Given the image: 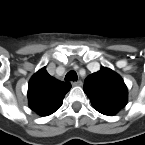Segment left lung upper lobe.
Segmentation results:
<instances>
[{
    "mask_svg": "<svg viewBox=\"0 0 145 145\" xmlns=\"http://www.w3.org/2000/svg\"><path fill=\"white\" fill-rule=\"evenodd\" d=\"M84 92L94 108L104 115H115L127 104V87L123 79L109 68L102 67L89 75L84 81Z\"/></svg>",
    "mask_w": 145,
    "mask_h": 145,
    "instance_id": "1",
    "label": "left lung upper lobe"
}]
</instances>
